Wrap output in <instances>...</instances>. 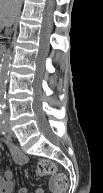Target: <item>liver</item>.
Segmentation results:
<instances>
[{
    "label": "liver",
    "instance_id": "liver-1",
    "mask_svg": "<svg viewBox=\"0 0 103 193\" xmlns=\"http://www.w3.org/2000/svg\"><path fill=\"white\" fill-rule=\"evenodd\" d=\"M21 0H0V17L3 25H10L18 13Z\"/></svg>",
    "mask_w": 103,
    "mask_h": 193
}]
</instances>
